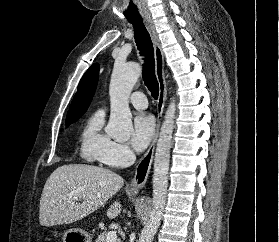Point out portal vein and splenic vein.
I'll use <instances>...</instances> for the list:
<instances>
[{"instance_id":"portal-vein-and-splenic-vein-1","label":"portal vein and splenic vein","mask_w":279,"mask_h":242,"mask_svg":"<svg viewBox=\"0 0 279 242\" xmlns=\"http://www.w3.org/2000/svg\"><path fill=\"white\" fill-rule=\"evenodd\" d=\"M74 199L78 200L77 196H73ZM117 235L115 231H108L107 233V242H116Z\"/></svg>"}]
</instances>
